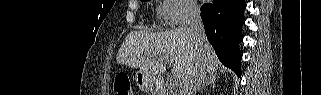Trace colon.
<instances>
[{"label": "colon", "instance_id": "5ec220e1", "mask_svg": "<svg viewBox=\"0 0 321 95\" xmlns=\"http://www.w3.org/2000/svg\"><path fill=\"white\" fill-rule=\"evenodd\" d=\"M115 93L117 95H132L130 80L126 75H118L114 83Z\"/></svg>", "mask_w": 321, "mask_h": 95}]
</instances>
